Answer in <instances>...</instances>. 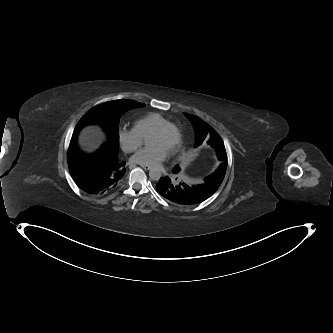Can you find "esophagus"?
Listing matches in <instances>:
<instances>
[{"label":"esophagus","instance_id":"esophagus-1","mask_svg":"<svg viewBox=\"0 0 333 333\" xmlns=\"http://www.w3.org/2000/svg\"><path fill=\"white\" fill-rule=\"evenodd\" d=\"M141 167L145 170H151L152 169V167L148 166V165H141Z\"/></svg>","mask_w":333,"mask_h":333}]
</instances>
